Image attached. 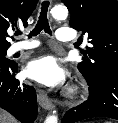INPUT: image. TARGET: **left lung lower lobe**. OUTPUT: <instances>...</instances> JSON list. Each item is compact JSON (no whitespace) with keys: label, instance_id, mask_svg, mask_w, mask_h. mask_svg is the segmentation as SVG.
Here are the masks:
<instances>
[{"label":"left lung lower lobe","instance_id":"0a47b994","mask_svg":"<svg viewBox=\"0 0 118 123\" xmlns=\"http://www.w3.org/2000/svg\"><path fill=\"white\" fill-rule=\"evenodd\" d=\"M85 79L89 85L88 100L67 111L61 122L74 123L94 117L118 120V68L102 72L94 81Z\"/></svg>","mask_w":118,"mask_h":123}]
</instances>
